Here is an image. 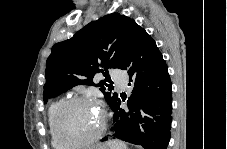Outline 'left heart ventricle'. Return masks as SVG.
Masks as SVG:
<instances>
[{
  "label": "left heart ventricle",
  "instance_id": "left-heart-ventricle-1",
  "mask_svg": "<svg viewBox=\"0 0 227 149\" xmlns=\"http://www.w3.org/2000/svg\"><path fill=\"white\" fill-rule=\"evenodd\" d=\"M100 123V111L95 104L75 103L64 111L61 131L67 140H84L98 130Z\"/></svg>",
  "mask_w": 227,
  "mask_h": 149
}]
</instances>
